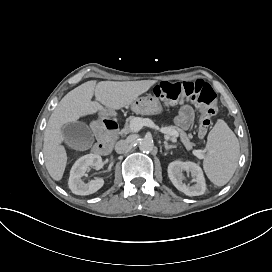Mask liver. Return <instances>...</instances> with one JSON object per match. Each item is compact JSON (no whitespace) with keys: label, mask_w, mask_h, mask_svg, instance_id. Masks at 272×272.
<instances>
[{"label":"liver","mask_w":272,"mask_h":272,"mask_svg":"<svg viewBox=\"0 0 272 272\" xmlns=\"http://www.w3.org/2000/svg\"><path fill=\"white\" fill-rule=\"evenodd\" d=\"M156 82V80L99 83L87 81L67 93L51 114L44 132L43 153L50 176L56 181L61 180L67 163L65 148L60 145L64 140L62 125L102 110V105L115 110L129 106ZM93 94L102 105L97 101H91Z\"/></svg>","instance_id":"6515ba94"}]
</instances>
